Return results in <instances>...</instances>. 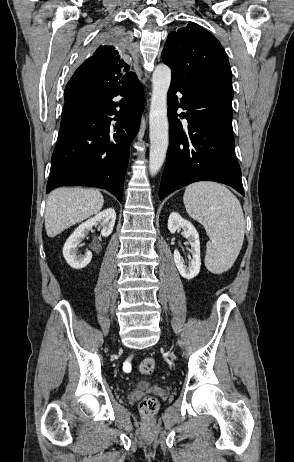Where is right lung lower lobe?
I'll return each mask as SVG.
<instances>
[{
  "mask_svg": "<svg viewBox=\"0 0 294 462\" xmlns=\"http://www.w3.org/2000/svg\"><path fill=\"white\" fill-rule=\"evenodd\" d=\"M118 95L124 97L119 103L113 101ZM67 97L46 193L60 186H92L122 202L129 146L144 108L143 87L135 77L119 89Z\"/></svg>",
  "mask_w": 294,
  "mask_h": 462,
  "instance_id": "1",
  "label": "right lung lower lobe"
}]
</instances>
